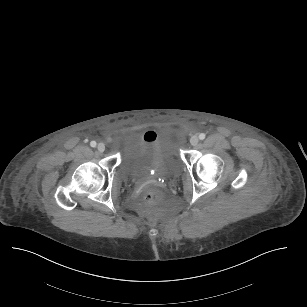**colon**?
Returning a JSON list of instances; mask_svg holds the SVG:
<instances>
[{
    "label": "colon",
    "mask_w": 307,
    "mask_h": 307,
    "mask_svg": "<svg viewBox=\"0 0 307 307\" xmlns=\"http://www.w3.org/2000/svg\"><path fill=\"white\" fill-rule=\"evenodd\" d=\"M143 139L147 142H154L158 139V132L155 130L146 131L143 134ZM142 200L147 205L158 206L162 202V192L157 187L149 186L145 189Z\"/></svg>",
    "instance_id": "5ec220e1"
}]
</instances>
